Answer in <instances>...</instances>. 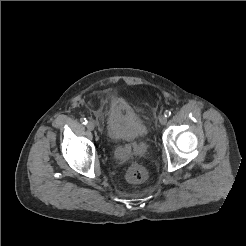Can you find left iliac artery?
Listing matches in <instances>:
<instances>
[{
  "label": "left iliac artery",
  "instance_id": "44dca946",
  "mask_svg": "<svg viewBox=\"0 0 246 246\" xmlns=\"http://www.w3.org/2000/svg\"><path fill=\"white\" fill-rule=\"evenodd\" d=\"M164 116H165V117H170V116H171V111L166 110V111L164 112Z\"/></svg>",
  "mask_w": 246,
  "mask_h": 246
}]
</instances>
